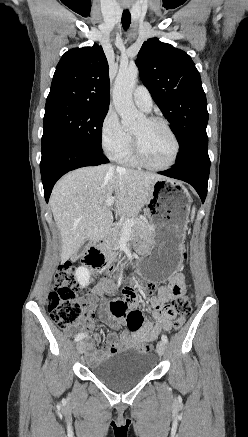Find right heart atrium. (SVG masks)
Wrapping results in <instances>:
<instances>
[{
	"mask_svg": "<svg viewBox=\"0 0 248 437\" xmlns=\"http://www.w3.org/2000/svg\"><path fill=\"white\" fill-rule=\"evenodd\" d=\"M100 141L104 151L114 158H120L131 146L132 138L120 123L118 114L110 108L100 126Z\"/></svg>",
	"mask_w": 248,
	"mask_h": 437,
	"instance_id": "1",
	"label": "right heart atrium"
}]
</instances>
